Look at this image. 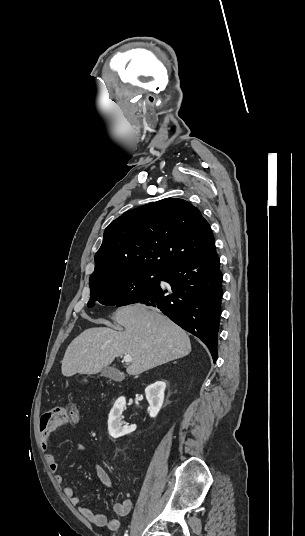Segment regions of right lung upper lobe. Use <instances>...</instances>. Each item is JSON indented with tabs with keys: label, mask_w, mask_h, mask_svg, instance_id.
I'll return each instance as SVG.
<instances>
[{
	"label": "right lung upper lobe",
	"mask_w": 305,
	"mask_h": 536,
	"mask_svg": "<svg viewBox=\"0 0 305 536\" xmlns=\"http://www.w3.org/2000/svg\"><path fill=\"white\" fill-rule=\"evenodd\" d=\"M215 247L210 225L189 202L166 198L122 214L104 231L89 282L140 270L165 271Z\"/></svg>",
	"instance_id": "cb5924a9"
}]
</instances>
